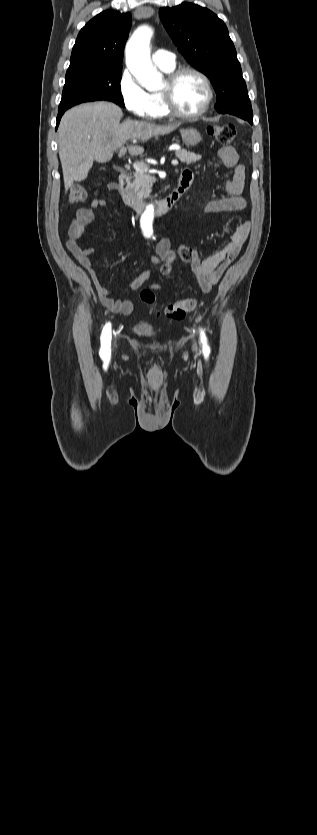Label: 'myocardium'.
<instances>
[{"instance_id": "f54148a6", "label": "myocardium", "mask_w": 317, "mask_h": 835, "mask_svg": "<svg viewBox=\"0 0 317 835\" xmlns=\"http://www.w3.org/2000/svg\"><path fill=\"white\" fill-rule=\"evenodd\" d=\"M186 74H194V75L198 76L203 81V83L205 85V88H206V92H207V96H206V99H205L202 107L194 113H184V112H182L178 108V106L175 102V98H174V90H175L176 84L179 81V79ZM161 94H162V97L165 101L166 107H167L170 115H172L176 118L190 120V119H196V118L202 116L204 113L207 112V110L209 109V107H210V105L213 101V98H214V89H213L212 82H211L210 78L203 71H201L197 68H194V67H182V68L173 70L172 72H170L168 74L167 79H166V86H165L164 89H162Z\"/></svg>"}]
</instances>
